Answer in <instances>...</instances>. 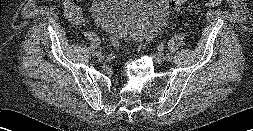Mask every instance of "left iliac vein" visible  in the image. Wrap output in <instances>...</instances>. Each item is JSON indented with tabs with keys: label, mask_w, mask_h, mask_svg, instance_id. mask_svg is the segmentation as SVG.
<instances>
[{
	"label": "left iliac vein",
	"mask_w": 253,
	"mask_h": 131,
	"mask_svg": "<svg viewBox=\"0 0 253 131\" xmlns=\"http://www.w3.org/2000/svg\"><path fill=\"white\" fill-rule=\"evenodd\" d=\"M153 56L159 62H164L165 60L169 61L172 59V55L170 53L164 54L163 52H155Z\"/></svg>",
	"instance_id": "left-iliac-vein-1"
}]
</instances>
